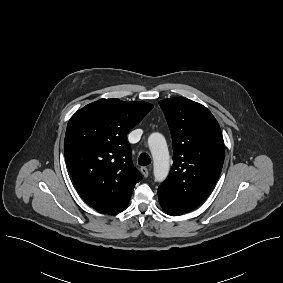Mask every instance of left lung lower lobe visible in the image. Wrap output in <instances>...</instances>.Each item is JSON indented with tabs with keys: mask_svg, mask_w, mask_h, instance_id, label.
<instances>
[{
	"mask_svg": "<svg viewBox=\"0 0 283 283\" xmlns=\"http://www.w3.org/2000/svg\"><path fill=\"white\" fill-rule=\"evenodd\" d=\"M158 198H159V202H160L162 209L167 214L171 216H178V215H182L183 213H185L181 211L180 209H178L177 207H175L172 204L171 199L168 197V195L159 189H158Z\"/></svg>",
	"mask_w": 283,
	"mask_h": 283,
	"instance_id": "1",
	"label": "left lung lower lobe"
}]
</instances>
